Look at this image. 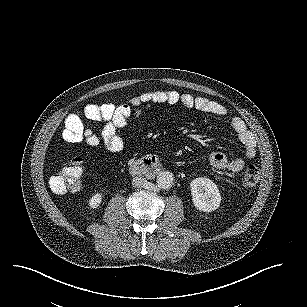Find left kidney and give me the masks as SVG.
<instances>
[{
  "label": "left kidney",
  "mask_w": 307,
  "mask_h": 307,
  "mask_svg": "<svg viewBox=\"0 0 307 307\" xmlns=\"http://www.w3.org/2000/svg\"><path fill=\"white\" fill-rule=\"evenodd\" d=\"M194 206L204 212H212L219 208L221 195L217 185L209 178L199 177L190 183Z\"/></svg>",
  "instance_id": "left-kidney-1"
}]
</instances>
